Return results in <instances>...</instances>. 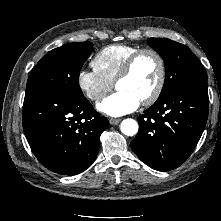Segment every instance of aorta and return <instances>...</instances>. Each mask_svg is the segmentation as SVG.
I'll return each instance as SVG.
<instances>
[{
	"label": "aorta",
	"instance_id": "1",
	"mask_svg": "<svg viewBox=\"0 0 221 221\" xmlns=\"http://www.w3.org/2000/svg\"><path fill=\"white\" fill-rule=\"evenodd\" d=\"M139 129L138 123L136 120L127 118L124 119L120 124V130L124 135L134 136L137 134Z\"/></svg>",
	"mask_w": 221,
	"mask_h": 221
}]
</instances>
